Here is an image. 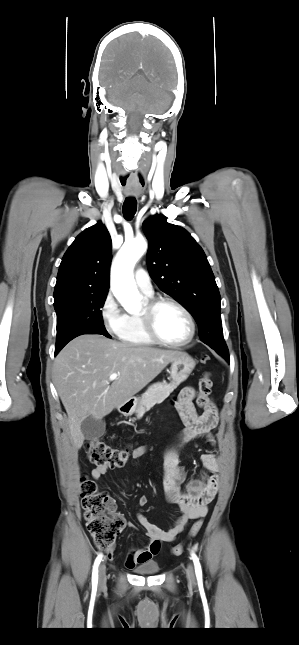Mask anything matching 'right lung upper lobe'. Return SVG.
Wrapping results in <instances>:
<instances>
[{"label": "right lung upper lobe", "instance_id": "1", "mask_svg": "<svg viewBox=\"0 0 299 645\" xmlns=\"http://www.w3.org/2000/svg\"><path fill=\"white\" fill-rule=\"evenodd\" d=\"M111 251V237L101 221L80 233L60 264L54 303L68 295L107 293Z\"/></svg>", "mask_w": 299, "mask_h": 645}]
</instances>
